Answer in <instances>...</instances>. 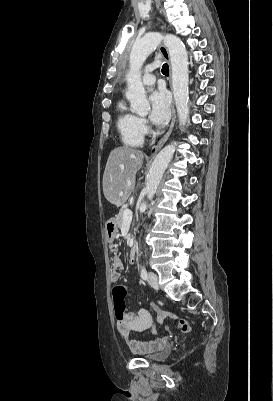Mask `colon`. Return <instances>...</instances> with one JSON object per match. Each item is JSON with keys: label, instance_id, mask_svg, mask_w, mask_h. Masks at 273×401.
<instances>
[{"label": "colon", "instance_id": "1", "mask_svg": "<svg viewBox=\"0 0 273 401\" xmlns=\"http://www.w3.org/2000/svg\"><path fill=\"white\" fill-rule=\"evenodd\" d=\"M126 287L124 285L113 286V312L116 321L122 325L126 321L127 312L125 306Z\"/></svg>", "mask_w": 273, "mask_h": 401}]
</instances>
